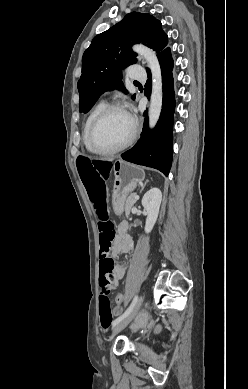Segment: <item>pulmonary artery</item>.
I'll list each match as a JSON object with an SVG mask.
<instances>
[{
  "label": "pulmonary artery",
  "mask_w": 248,
  "mask_h": 389,
  "mask_svg": "<svg viewBox=\"0 0 248 389\" xmlns=\"http://www.w3.org/2000/svg\"><path fill=\"white\" fill-rule=\"evenodd\" d=\"M127 75L129 78L137 81L143 80V73L140 68H137L136 66H130L128 68Z\"/></svg>",
  "instance_id": "1"
}]
</instances>
